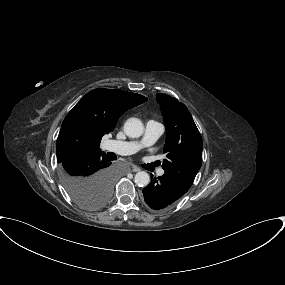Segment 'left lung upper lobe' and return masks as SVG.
<instances>
[{
    "mask_svg": "<svg viewBox=\"0 0 285 285\" xmlns=\"http://www.w3.org/2000/svg\"><path fill=\"white\" fill-rule=\"evenodd\" d=\"M166 127L162 168L190 188L202 164L203 142L187 107L176 98L157 94Z\"/></svg>",
    "mask_w": 285,
    "mask_h": 285,
    "instance_id": "obj_1",
    "label": "left lung upper lobe"
}]
</instances>
